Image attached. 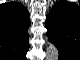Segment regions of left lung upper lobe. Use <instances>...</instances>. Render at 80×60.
Here are the masks:
<instances>
[{"mask_svg": "<svg viewBox=\"0 0 80 60\" xmlns=\"http://www.w3.org/2000/svg\"><path fill=\"white\" fill-rule=\"evenodd\" d=\"M76 12L77 15H75ZM79 15L80 11L75 4L60 1L53 6L47 16L45 23L48 29L47 36L58 47L59 55L62 58L67 53L70 54V50L80 46L79 32L75 27Z\"/></svg>", "mask_w": 80, "mask_h": 60, "instance_id": "1", "label": "left lung upper lobe"}]
</instances>
